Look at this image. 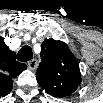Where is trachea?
Returning a JSON list of instances; mask_svg holds the SVG:
<instances>
[{
    "label": "trachea",
    "mask_w": 103,
    "mask_h": 103,
    "mask_svg": "<svg viewBox=\"0 0 103 103\" xmlns=\"http://www.w3.org/2000/svg\"><path fill=\"white\" fill-rule=\"evenodd\" d=\"M32 58L33 52L30 46H23L17 54V59L21 62H27Z\"/></svg>",
    "instance_id": "3493384b"
}]
</instances>
